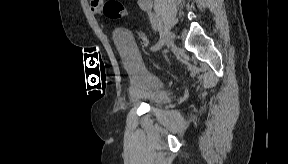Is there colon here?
Masks as SVG:
<instances>
[{
  "label": "colon",
  "instance_id": "1",
  "mask_svg": "<svg viewBox=\"0 0 288 164\" xmlns=\"http://www.w3.org/2000/svg\"><path fill=\"white\" fill-rule=\"evenodd\" d=\"M104 12L106 16L110 19H118L122 16L126 15V9L123 6L122 3L119 1H109L104 6ZM138 39L140 41V46H148L149 45V39L146 35L143 33H138ZM144 52H147V49L143 50ZM147 55H150V52L146 53Z\"/></svg>",
  "mask_w": 288,
  "mask_h": 164
}]
</instances>
